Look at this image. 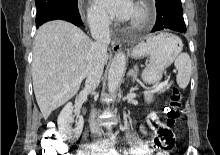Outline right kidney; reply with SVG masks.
Wrapping results in <instances>:
<instances>
[{"label":"right kidney","instance_id":"ca27d5eb","mask_svg":"<svg viewBox=\"0 0 220 155\" xmlns=\"http://www.w3.org/2000/svg\"><path fill=\"white\" fill-rule=\"evenodd\" d=\"M73 122V105L72 103H67L62 111L60 112L57 120L59 133L66 139H77L80 137L84 120L83 117L80 116L79 120L76 122L75 128L71 127V123Z\"/></svg>","mask_w":220,"mask_h":155}]
</instances>
